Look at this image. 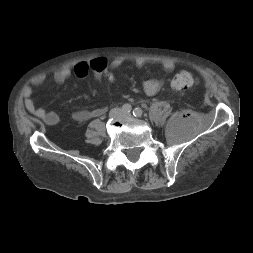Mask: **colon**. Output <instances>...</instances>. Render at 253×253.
<instances>
[{
  "label": "colon",
  "instance_id": "obj_1",
  "mask_svg": "<svg viewBox=\"0 0 253 253\" xmlns=\"http://www.w3.org/2000/svg\"><path fill=\"white\" fill-rule=\"evenodd\" d=\"M90 69L98 80L115 81V75L108 68V61L103 57L94 58L89 62ZM196 84L195 78L188 72H180L172 79V87L177 90H186Z\"/></svg>",
  "mask_w": 253,
  "mask_h": 253
}]
</instances>
